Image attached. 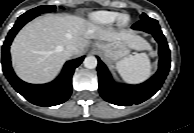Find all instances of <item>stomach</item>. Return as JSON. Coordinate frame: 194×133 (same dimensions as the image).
<instances>
[{
    "label": "stomach",
    "mask_w": 194,
    "mask_h": 133,
    "mask_svg": "<svg viewBox=\"0 0 194 133\" xmlns=\"http://www.w3.org/2000/svg\"><path fill=\"white\" fill-rule=\"evenodd\" d=\"M95 46L101 51L103 56L109 61H117L130 52V48L124 41L111 43H95Z\"/></svg>",
    "instance_id": "1"
}]
</instances>
